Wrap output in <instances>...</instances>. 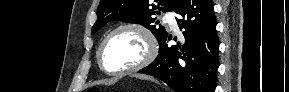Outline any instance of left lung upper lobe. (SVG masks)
Returning <instances> with one entry per match:
<instances>
[{"label":"left lung upper lobe","instance_id":"left-lung-upper-lobe-1","mask_svg":"<svg viewBox=\"0 0 289 92\" xmlns=\"http://www.w3.org/2000/svg\"><path fill=\"white\" fill-rule=\"evenodd\" d=\"M179 0H154L155 4H150L151 0H101L97 8V21L92 27L91 34H94L106 23L110 21H124L141 24L149 29L157 38L159 45L167 37L168 33L161 25L156 26L154 9L167 12L175 8ZM153 8H149V6ZM164 6V7H162ZM156 11L157 14L160 12Z\"/></svg>","mask_w":289,"mask_h":92}]
</instances>
